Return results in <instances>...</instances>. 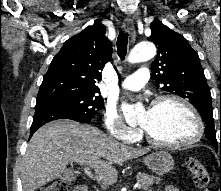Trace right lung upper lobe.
<instances>
[{"label":"right lung upper lobe","mask_w":221,"mask_h":191,"mask_svg":"<svg viewBox=\"0 0 221 191\" xmlns=\"http://www.w3.org/2000/svg\"><path fill=\"white\" fill-rule=\"evenodd\" d=\"M105 32V26L98 20L63 44L43 79L37 102L61 96L100 94L95 84L112 55V43Z\"/></svg>","instance_id":"obj_1"}]
</instances>
